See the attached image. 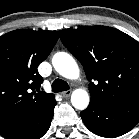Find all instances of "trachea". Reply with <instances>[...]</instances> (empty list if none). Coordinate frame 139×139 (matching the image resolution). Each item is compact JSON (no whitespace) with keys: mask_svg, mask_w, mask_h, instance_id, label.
<instances>
[{"mask_svg":"<svg viewBox=\"0 0 139 139\" xmlns=\"http://www.w3.org/2000/svg\"><path fill=\"white\" fill-rule=\"evenodd\" d=\"M69 90V85L66 81L62 80V79H56L53 83H52V91L57 93V92H62V91H66Z\"/></svg>","mask_w":139,"mask_h":139,"instance_id":"obj_1","label":"trachea"}]
</instances>
